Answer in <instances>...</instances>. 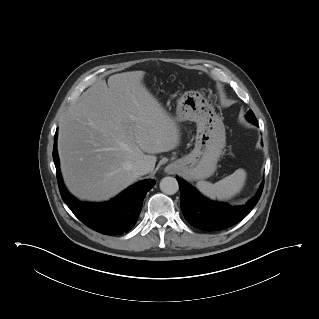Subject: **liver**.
I'll list each match as a JSON object with an SVG mask.
<instances>
[{"label":"liver","mask_w":319,"mask_h":319,"mask_svg":"<svg viewBox=\"0 0 319 319\" xmlns=\"http://www.w3.org/2000/svg\"><path fill=\"white\" fill-rule=\"evenodd\" d=\"M144 71L99 81L71 106L59 124L58 153L64 182L76 197L112 198L139 176L132 167L175 149L180 130L143 83ZM147 153V154H145Z\"/></svg>","instance_id":"liver-1"}]
</instances>
